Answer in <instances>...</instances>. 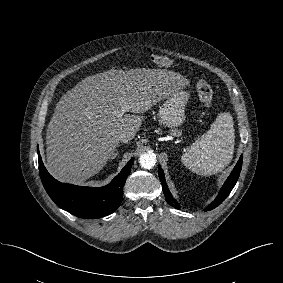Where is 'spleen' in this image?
I'll return each instance as SVG.
<instances>
[{"label": "spleen", "mask_w": 283, "mask_h": 283, "mask_svg": "<svg viewBox=\"0 0 283 283\" xmlns=\"http://www.w3.org/2000/svg\"><path fill=\"white\" fill-rule=\"evenodd\" d=\"M235 145L233 117L220 113L210 129L198 138L184 153L181 161L185 167L200 175H213L230 164Z\"/></svg>", "instance_id": "1"}]
</instances>
